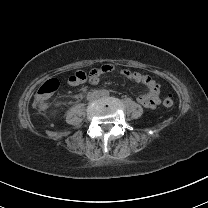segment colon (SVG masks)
<instances>
[{
    "mask_svg": "<svg viewBox=\"0 0 208 208\" xmlns=\"http://www.w3.org/2000/svg\"><path fill=\"white\" fill-rule=\"evenodd\" d=\"M86 74L83 71L76 70L74 73L69 72L67 81L70 86L75 85L77 82L84 84L86 82ZM61 85V80L57 76H52L48 78L44 83H42L36 92V98L33 101V106L37 110H43L47 106V100L52 94L54 89H57ZM163 105L166 108H171L174 102L171 98H166L163 101Z\"/></svg>",
    "mask_w": 208,
    "mask_h": 208,
    "instance_id": "colon-1",
    "label": "colon"
}]
</instances>
